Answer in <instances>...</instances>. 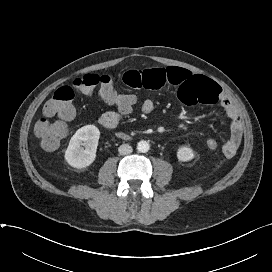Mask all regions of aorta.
Wrapping results in <instances>:
<instances>
[{
  "label": "aorta",
  "instance_id": "1",
  "mask_svg": "<svg viewBox=\"0 0 272 272\" xmlns=\"http://www.w3.org/2000/svg\"><path fill=\"white\" fill-rule=\"evenodd\" d=\"M149 148H150V145L147 141L142 140V141L138 142V144H137V150L139 152L145 153L149 150Z\"/></svg>",
  "mask_w": 272,
  "mask_h": 272
}]
</instances>
